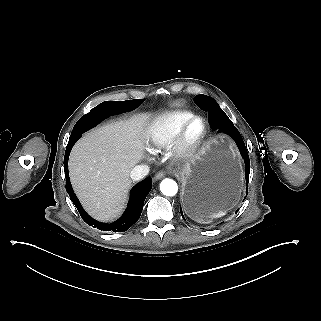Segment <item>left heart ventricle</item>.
I'll return each instance as SVG.
<instances>
[{"mask_svg":"<svg viewBox=\"0 0 321 321\" xmlns=\"http://www.w3.org/2000/svg\"><path fill=\"white\" fill-rule=\"evenodd\" d=\"M200 130H201V124L200 122H195L193 123L189 129L187 130V133H186V137L189 139V140H193L195 139L199 133H200Z\"/></svg>","mask_w":321,"mask_h":321,"instance_id":"1","label":"left heart ventricle"}]
</instances>
